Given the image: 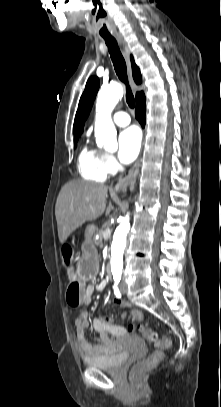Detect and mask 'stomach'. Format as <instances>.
<instances>
[{"instance_id":"stomach-1","label":"stomach","mask_w":221,"mask_h":407,"mask_svg":"<svg viewBox=\"0 0 221 407\" xmlns=\"http://www.w3.org/2000/svg\"><path fill=\"white\" fill-rule=\"evenodd\" d=\"M97 269V257L93 250L83 248L76 263V272L82 280L91 279Z\"/></svg>"}]
</instances>
